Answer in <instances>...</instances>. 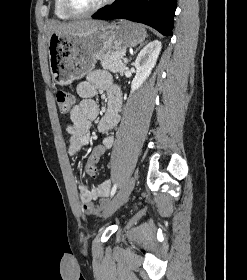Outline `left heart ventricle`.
I'll use <instances>...</instances> for the list:
<instances>
[{"mask_svg":"<svg viewBox=\"0 0 247 280\" xmlns=\"http://www.w3.org/2000/svg\"><path fill=\"white\" fill-rule=\"evenodd\" d=\"M75 8L86 10L99 4L102 0H71Z\"/></svg>","mask_w":247,"mask_h":280,"instance_id":"obj_1","label":"left heart ventricle"}]
</instances>
